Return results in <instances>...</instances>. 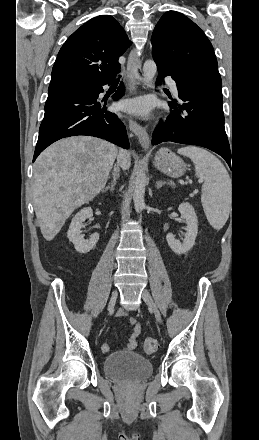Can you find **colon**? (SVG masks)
Returning a JSON list of instances; mask_svg holds the SVG:
<instances>
[{
	"mask_svg": "<svg viewBox=\"0 0 259 440\" xmlns=\"http://www.w3.org/2000/svg\"><path fill=\"white\" fill-rule=\"evenodd\" d=\"M142 347L146 353L152 354L158 349V341L153 337H147L143 340Z\"/></svg>",
	"mask_w": 259,
	"mask_h": 440,
	"instance_id": "colon-1",
	"label": "colon"
}]
</instances>
